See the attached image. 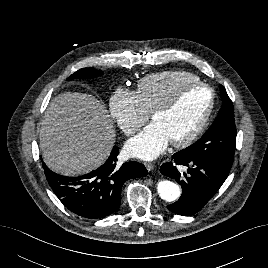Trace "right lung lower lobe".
<instances>
[{
	"instance_id": "obj_1",
	"label": "right lung lower lobe",
	"mask_w": 268,
	"mask_h": 268,
	"mask_svg": "<svg viewBox=\"0 0 268 268\" xmlns=\"http://www.w3.org/2000/svg\"><path fill=\"white\" fill-rule=\"evenodd\" d=\"M118 153L119 148L114 147L102 166L83 176H61L43 163L44 173L54 193L70 211L86 218H103L119 208L121 189L127 180L147 175L144 165L138 162L116 166Z\"/></svg>"
}]
</instances>
